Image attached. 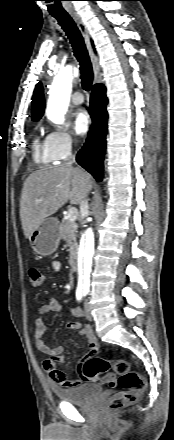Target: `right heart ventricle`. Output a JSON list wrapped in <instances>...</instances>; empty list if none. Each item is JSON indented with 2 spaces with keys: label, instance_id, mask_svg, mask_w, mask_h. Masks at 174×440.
<instances>
[{
  "label": "right heart ventricle",
  "instance_id": "right-heart-ventricle-1",
  "mask_svg": "<svg viewBox=\"0 0 174 440\" xmlns=\"http://www.w3.org/2000/svg\"><path fill=\"white\" fill-rule=\"evenodd\" d=\"M33 159L37 164L49 165L54 162L48 151L46 140L35 138L33 141Z\"/></svg>",
  "mask_w": 174,
  "mask_h": 440
}]
</instances>
